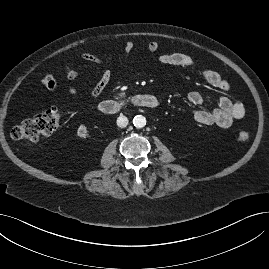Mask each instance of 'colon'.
I'll return each mask as SVG.
<instances>
[{"mask_svg":"<svg viewBox=\"0 0 269 269\" xmlns=\"http://www.w3.org/2000/svg\"><path fill=\"white\" fill-rule=\"evenodd\" d=\"M61 119V112L58 108L53 107L34 117L27 119L16 125L12 130V137L15 140L33 143L41 137L48 136L56 131ZM250 133L247 129H240L237 133V139L241 143L249 140Z\"/></svg>","mask_w":269,"mask_h":269,"instance_id":"5ec220e1","label":"colon"}]
</instances>
